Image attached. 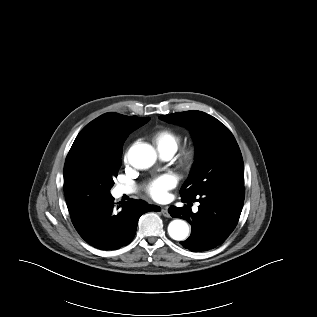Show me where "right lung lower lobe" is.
<instances>
[{
  "label": "right lung lower lobe",
  "mask_w": 317,
  "mask_h": 317,
  "mask_svg": "<svg viewBox=\"0 0 317 317\" xmlns=\"http://www.w3.org/2000/svg\"><path fill=\"white\" fill-rule=\"evenodd\" d=\"M66 202L79 235L89 245L101 250L126 246L135 236L140 216L148 211H160L158 206L135 199L117 206L116 210L112 196L96 202L70 196L66 197Z\"/></svg>",
  "instance_id": "1"
}]
</instances>
